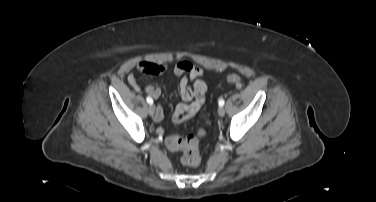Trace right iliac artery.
Returning <instances> with one entry per match:
<instances>
[{
  "instance_id": "right-iliac-artery-1",
  "label": "right iliac artery",
  "mask_w": 376,
  "mask_h": 202,
  "mask_svg": "<svg viewBox=\"0 0 376 202\" xmlns=\"http://www.w3.org/2000/svg\"><path fill=\"white\" fill-rule=\"evenodd\" d=\"M146 100H147V103H148V104H150V105L153 104V99H152L151 97L148 96V97L146 98Z\"/></svg>"
}]
</instances>
